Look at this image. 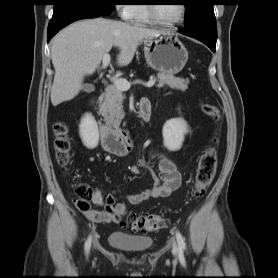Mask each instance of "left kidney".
Listing matches in <instances>:
<instances>
[{
	"label": "left kidney",
	"mask_w": 278,
	"mask_h": 278,
	"mask_svg": "<svg viewBox=\"0 0 278 278\" xmlns=\"http://www.w3.org/2000/svg\"><path fill=\"white\" fill-rule=\"evenodd\" d=\"M188 132V125L182 118L168 120L162 130L164 146L170 151L179 150Z\"/></svg>",
	"instance_id": "5707ae66"
}]
</instances>
